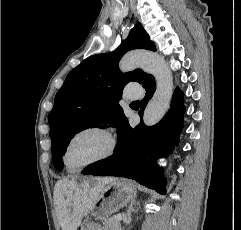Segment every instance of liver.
<instances>
[{"instance_id": "obj_1", "label": "liver", "mask_w": 241, "mask_h": 230, "mask_svg": "<svg viewBox=\"0 0 241 230\" xmlns=\"http://www.w3.org/2000/svg\"><path fill=\"white\" fill-rule=\"evenodd\" d=\"M116 180L113 177H103L81 185L74 179L57 181L54 203L62 230H77L83 216L94 208L103 186Z\"/></svg>"}]
</instances>
